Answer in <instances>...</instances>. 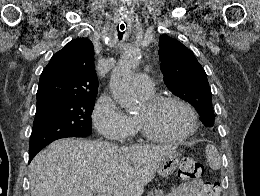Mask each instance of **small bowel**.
<instances>
[{"mask_svg": "<svg viewBox=\"0 0 260 196\" xmlns=\"http://www.w3.org/2000/svg\"><path fill=\"white\" fill-rule=\"evenodd\" d=\"M207 184L200 178L189 180L176 186L167 196H210Z\"/></svg>", "mask_w": 260, "mask_h": 196, "instance_id": "1", "label": "small bowel"}]
</instances>
